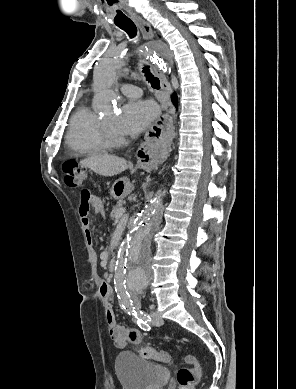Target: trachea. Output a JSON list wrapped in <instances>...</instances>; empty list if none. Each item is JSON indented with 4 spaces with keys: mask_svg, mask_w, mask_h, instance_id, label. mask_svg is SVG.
I'll list each match as a JSON object with an SVG mask.
<instances>
[{
    "mask_svg": "<svg viewBox=\"0 0 296 389\" xmlns=\"http://www.w3.org/2000/svg\"><path fill=\"white\" fill-rule=\"evenodd\" d=\"M118 27L124 30L130 38H134L137 35V28L132 21L118 25ZM142 72L145 74L146 80L151 84L152 88L160 89V81L150 72L148 65L143 67Z\"/></svg>",
    "mask_w": 296,
    "mask_h": 389,
    "instance_id": "3493384b",
    "label": "trachea"
}]
</instances>
